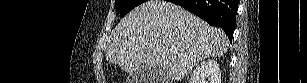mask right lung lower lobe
Masks as SVG:
<instances>
[{"label": "right lung lower lobe", "mask_w": 307, "mask_h": 83, "mask_svg": "<svg viewBox=\"0 0 307 83\" xmlns=\"http://www.w3.org/2000/svg\"><path fill=\"white\" fill-rule=\"evenodd\" d=\"M213 26H220L230 40L235 30L238 0H172Z\"/></svg>", "instance_id": "1"}]
</instances>
